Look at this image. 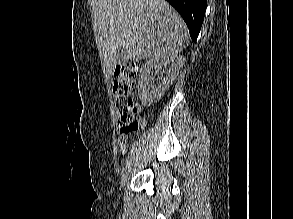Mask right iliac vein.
Here are the masks:
<instances>
[{"instance_id": "1", "label": "right iliac vein", "mask_w": 293, "mask_h": 219, "mask_svg": "<svg viewBox=\"0 0 293 219\" xmlns=\"http://www.w3.org/2000/svg\"><path fill=\"white\" fill-rule=\"evenodd\" d=\"M131 169H132V164L128 165L122 172L121 175V180H120V185L121 187L125 186V183L127 182V180L129 179L130 173H131Z\"/></svg>"}]
</instances>
